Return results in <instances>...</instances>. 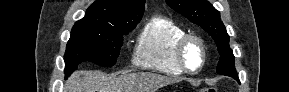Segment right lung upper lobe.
I'll return each mask as SVG.
<instances>
[{
	"label": "right lung upper lobe",
	"mask_w": 289,
	"mask_h": 92,
	"mask_svg": "<svg viewBox=\"0 0 289 92\" xmlns=\"http://www.w3.org/2000/svg\"><path fill=\"white\" fill-rule=\"evenodd\" d=\"M144 4L145 0H97L74 26L118 28L137 25L142 18Z\"/></svg>",
	"instance_id": "cb5924a9"
}]
</instances>
